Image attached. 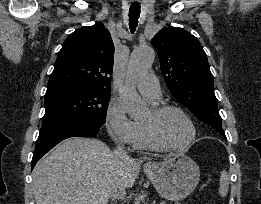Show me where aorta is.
<instances>
[{"instance_id": "aorta-1", "label": "aorta", "mask_w": 261, "mask_h": 204, "mask_svg": "<svg viewBox=\"0 0 261 204\" xmlns=\"http://www.w3.org/2000/svg\"><path fill=\"white\" fill-rule=\"evenodd\" d=\"M155 58L151 47L138 48L131 54L125 84L120 89V98L128 115L139 119L146 114V103L136 90V81L147 73Z\"/></svg>"}]
</instances>
